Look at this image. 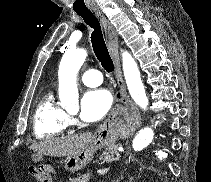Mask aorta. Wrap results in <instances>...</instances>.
I'll return each instance as SVG.
<instances>
[{"instance_id": "obj_1", "label": "aorta", "mask_w": 211, "mask_h": 182, "mask_svg": "<svg viewBox=\"0 0 211 182\" xmlns=\"http://www.w3.org/2000/svg\"><path fill=\"white\" fill-rule=\"evenodd\" d=\"M87 57L85 49L67 51L60 62L58 71L59 99L66 108L78 106V87L76 77L79 69ZM123 72L129 93L134 102L146 110L148 98L141 80L140 71L136 61L127 51L122 53ZM154 138V131L150 127L141 129L133 139L132 147L135 151L146 148Z\"/></svg>"}]
</instances>
